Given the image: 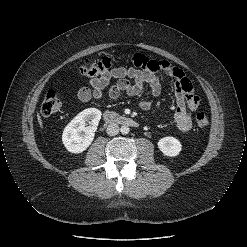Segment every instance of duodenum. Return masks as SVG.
Wrapping results in <instances>:
<instances>
[{
  "mask_svg": "<svg viewBox=\"0 0 247 247\" xmlns=\"http://www.w3.org/2000/svg\"><path fill=\"white\" fill-rule=\"evenodd\" d=\"M104 119L108 124H120V125H126V126H131V127L138 126V123L134 119L130 117L118 115L111 111H107L105 113Z\"/></svg>",
  "mask_w": 247,
  "mask_h": 247,
  "instance_id": "410a0bca",
  "label": "duodenum"
}]
</instances>
